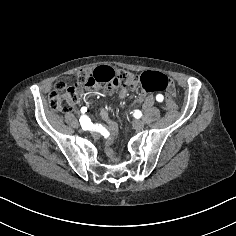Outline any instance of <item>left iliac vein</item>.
Listing matches in <instances>:
<instances>
[{"instance_id":"1","label":"left iliac vein","mask_w":236,"mask_h":236,"mask_svg":"<svg viewBox=\"0 0 236 236\" xmlns=\"http://www.w3.org/2000/svg\"><path fill=\"white\" fill-rule=\"evenodd\" d=\"M143 123L142 122H136V123H134V125H133V128L136 130V131H139L140 129H142L143 128Z\"/></svg>"}]
</instances>
